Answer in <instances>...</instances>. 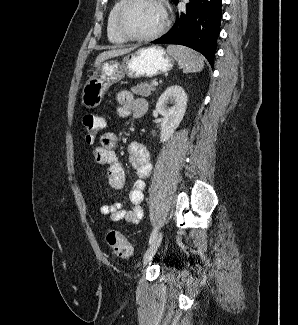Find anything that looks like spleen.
<instances>
[{
	"label": "spleen",
	"instance_id": "obj_1",
	"mask_svg": "<svg viewBox=\"0 0 298 325\" xmlns=\"http://www.w3.org/2000/svg\"><path fill=\"white\" fill-rule=\"evenodd\" d=\"M167 52L177 60L179 68H183V72H200L204 68L203 56L192 48L181 46V44H169Z\"/></svg>",
	"mask_w": 298,
	"mask_h": 325
}]
</instances>
